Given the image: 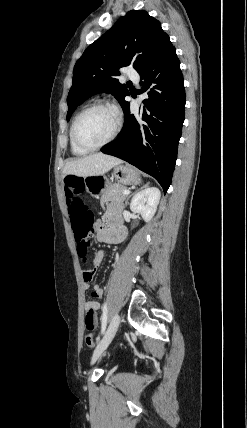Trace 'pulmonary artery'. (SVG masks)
<instances>
[{
    "instance_id": "obj_1",
    "label": "pulmonary artery",
    "mask_w": 247,
    "mask_h": 428,
    "mask_svg": "<svg viewBox=\"0 0 247 428\" xmlns=\"http://www.w3.org/2000/svg\"><path fill=\"white\" fill-rule=\"evenodd\" d=\"M126 75H127L130 79H132V80H134V81H137V80H138V78H139L138 73H137L134 69H132V68H128V69L126 70Z\"/></svg>"
}]
</instances>
